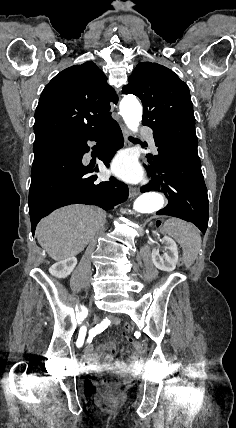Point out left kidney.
Listing matches in <instances>:
<instances>
[{"label": "left kidney", "mask_w": 236, "mask_h": 428, "mask_svg": "<svg viewBox=\"0 0 236 428\" xmlns=\"http://www.w3.org/2000/svg\"><path fill=\"white\" fill-rule=\"evenodd\" d=\"M154 234L155 236H159L158 232H154ZM162 244H164L163 256H160L159 250L154 248V250H152V262H154V266H156L158 270L173 272L178 262V248L174 240L168 238V236H164Z\"/></svg>", "instance_id": "left-kidney-1"}]
</instances>
